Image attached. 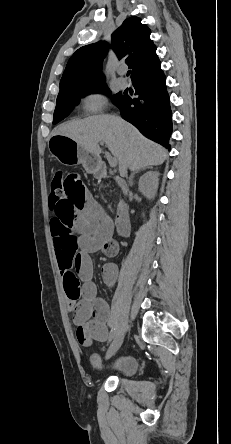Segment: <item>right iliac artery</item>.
<instances>
[{
    "label": "right iliac artery",
    "instance_id": "obj_1",
    "mask_svg": "<svg viewBox=\"0 0 231 444\" xmlns=\"http://www.w3.org/2000/svg\"><path fill=\"white\" fill-rule=\"evenodd\" d=\"M115 335H116V327H113L111 330L109 341H111L115 337Z\"/></svg>",
    "mask_w": 231,
    "mask_h": 444
}]
</instances>
